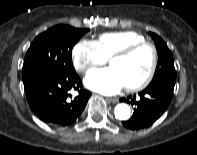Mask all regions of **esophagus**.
Returning a JSON list of instances; mask_svg holds the SVG:
<instances>
[{"mask_svg": "<svg viewBox=\"0 0 197 155\" xmlns=\"http://www.w3.org/2000/svg\"><path fill=\"white\" fill-rule=\"evenodd\" d=\"M106 100L108 102H111V103H117L118 102V99L117 98H106Z\"/></svg>", "mask_w": 197, "mask_h": 155, "instance_id": "34e87169", "label": "esophagus"}]
</instances>
